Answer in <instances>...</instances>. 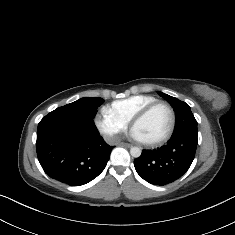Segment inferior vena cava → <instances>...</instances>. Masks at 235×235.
I'll return each mask as SVG.
<instances>
[{"label":"inferior vena cava","instance_id":"obj_1","mask_svg":"<svg viewBox=\"0 0 235 235\" xmlns=\"http://www.w3.org/2000/svg\"><path fill=\"white\" fill-rule=\"evenodd\" d=\"M104 139L109 145H115L120 142V138L118 135H106Z\"/></svg>","mask_w":235,"mask_h":235}]
</instances>
